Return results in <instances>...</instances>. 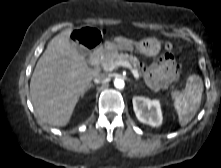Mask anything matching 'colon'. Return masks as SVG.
I'll return each instance as SVG.
<instances>
[{
    "instance_id": "5ec220e1",
    "label": "colon",
    "mask_w": 221,
    "mask_h": 168,
    "mask_svg": "<svg viewBox=\"0 0 221 168\" xmlns=\"http://www.w3.org/2000/svg\"><path fill=\"white\" fill-rule=\"evenodd\" d=\"M101 38H102V32L97 29H90V28L82 29L80 31H77L74 34V39L78 41L80 44L87 46V47L93 46ZM163 45H164L165 50H167L168 52H170L173 48L170 42H165ZM182 92H183V87L175 88L170 93V98L176 99L177 97H180Z\"/></svg>"
}]
</instances>
